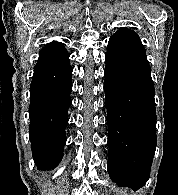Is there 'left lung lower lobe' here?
<instances>
[{"label":"left lung lower lobe","mask_w":178,"mask_h":195,"mask_svg":"<svg viewBox=\"0 0 178 195\" xmlns=\"http://www.w3.org/2000/svg\"><path fill=\"white\" fill-rule=\"evenodd\" d=\"M108 165L112 181L137 190L150 176L156 148V109L147 64L105 55Z\"/></svg>","instance_id":"1"}]
</instances>
